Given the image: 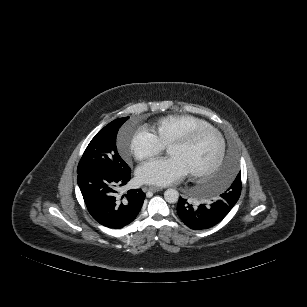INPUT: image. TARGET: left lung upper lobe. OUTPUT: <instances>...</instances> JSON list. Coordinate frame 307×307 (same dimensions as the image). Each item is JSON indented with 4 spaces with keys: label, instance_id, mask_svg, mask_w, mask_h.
<instances>
[{
    "label": "left lung upper lobe",
    "instance_id": "5c2ea615",
    "mask_svg": "<svg viewBox=\"0 0 307 307\" xmlns=\"http://www.w3.org/2000/svg\"><path fill=\"white\" fill-rule=\"evenodd\" d=\"M224 193L232 200L238 201L241 193V172L238 173L232 185Z\"/></svg>",
    "mask_w": 307,
    "mask_h": 307
}]
</instances>
